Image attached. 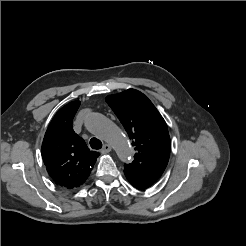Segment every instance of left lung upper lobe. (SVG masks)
<instances>
[{"instance_id":"left-lung-upper-lobe-1","label":"left lung upper lobe","mask_w":246,"mask_h":246,"mask_svg":"<svg viewBox=\"0 0 246 246\" xmlns=\"http://www.w3.org/2000/svg\"><path fill=\"white\" fill-rule=\"evenodd\" d=\"M106 102L127 131L136 150L124 169L153 182L164 172L171 149L166 122L153 103L140 91L128 89L106 97Z\"/></svg>"}]
</instances>
